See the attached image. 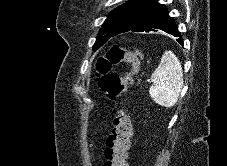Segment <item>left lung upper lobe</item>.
<instances>
[{
	"label": "left lung upper lobe",
	"instance_id": "obj_1",
	"mask_svg": "<svg viewBox=\"0 0 227 166\" xmlns=\"http://www.w3.org/2000/svg\"><path fill=\"white\" fill-rule=\"evenodd\" d=\"M147 0H128L114 9L108 16L99 31L93 50H97L110 37L126 32L133 24L137 14Z\"/></svg>",
	"mask_w": 227,
	"mask_h": 166
}]
</instances>
